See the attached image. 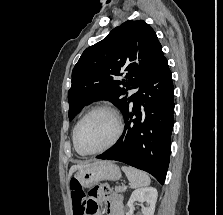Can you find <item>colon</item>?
Here are the masks:
<instances>
[{
	"label": "colon",
	"instance_id": "1",
	"mask_svg": "<svg viewBox=\"0 0 223 215\" xmlns=\"http://www.w3.org/2000/svg\"><path fill=\"white\" fill-rule=\"evenodd\" d=\"M74 215H86L89 211L88 201L80 183L73 179L70 184Z\"/></svg>",
	"mask_w": 223,
	"mask_h": 215
}]
</instances>
